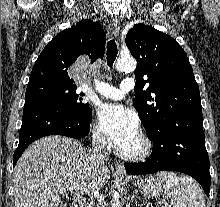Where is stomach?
Listing matches in <instances>:
<instances>
[{"mask_svg":"<svg viewBox=\"0 0 220 207\" xmlns=\"http://www.w3.org/2000/svg\"><path fill=\"white\" fill-rule=\"evenodd\" d=\"M134 185L146 196L157 198L163 193V184L154 176H148L144 179H135Z\"/></svg>","mask_w":220,"mask_h":207,"instance_id":"1","label":"stomach"}]
</instances>
